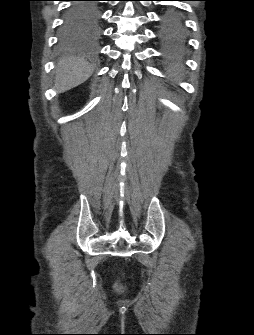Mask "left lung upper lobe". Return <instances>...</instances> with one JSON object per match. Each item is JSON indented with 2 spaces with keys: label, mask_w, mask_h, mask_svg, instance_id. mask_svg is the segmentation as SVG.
<instances>
[{
  "label": "left lung upper lobe",
  "mask_w": 254,
  "mask_h": 335,
  "mask_svg": "<svg viewBox=\"0 0 254 335\" xmlns=\"http://www.w3.org/2000/svg\"><path fill=\"white\" fill-rule=\"evenodd\" d=\"M163 25L165 34H176L181 30L183 26L182 17L177 11L171 9L165 14L163 18Z\"/></svg>",
  "instance_id": "5c2ea615"
}]
</instances>
